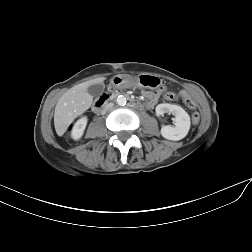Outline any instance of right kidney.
Listing matches in <instances>:
<instances>
[{"instance_id": "right-kidney-1", "label": "right kidney", "mask_w": 252, "mask_h": 252, "mask_svg": "<svg viewBox=\"0 0 252 252\" xmlns=\"http://www.w3.org/2000/svg\"><path fill=\"white\" fill-rule=\"evenodd\" d=\"M86 125H87L86 116H83L77 120V122L73 126L72 133H71V136L74 140H79L83 136Z\"/></svg>"}]
</instances>
